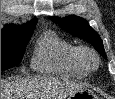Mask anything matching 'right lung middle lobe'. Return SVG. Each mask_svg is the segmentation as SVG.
I'll return each mask as SVG.
<instances>
[{
  "mask_svg": "<svg viewBox=\"0 0 115 99\" xmlns=\"http://www.w3.org/2000/svg\"><path fill=\"white\" fill-rule=\"evenodd\" d=\"M32 33L1 37V71L17 66L23 57Z\"/></svg>",
  "mask_w": 115,
  "mask_h": 99,
  "instance_id": "right-lung-middle-lobe-1",
  "label": "right lung middle lobe"
}]
</instances>
